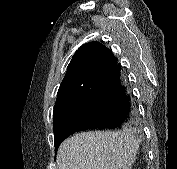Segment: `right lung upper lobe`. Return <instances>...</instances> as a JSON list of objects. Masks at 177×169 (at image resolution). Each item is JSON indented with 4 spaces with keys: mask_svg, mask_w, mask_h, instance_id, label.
<instances>
[{
    "mask_svg": "<svg viewBox=\"0 0 177 169\" xmlns=\"http://www.w3.org/2000/svg\"><path fill=\"white\" fill-rule=\"evenodd\" d=\"M113 59V54L98 42L82 45L70 62L68 71L58 90L56 103L86 84L96 72Z\"/></svg>",
    "mask_w": 177,
    "mask_h": 169,
    "instance_id": "obj_1",
    "label": "right lung upper lobe"
}]
</instances>
